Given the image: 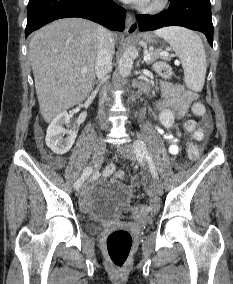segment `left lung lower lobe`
Masks as SVG:
<instances>
[{
  "label": "left lung lower lobe",
  "mask_w": 233,
  "mask_h": 284,
  "mask_svg": "<svg viewBox=\"0 0 233 284\" xmlns=\"http://www.w3.org/2000/svg\"><path fill=\"white\" fill-rule=\"evenodd\" d=\"M141 31L177 25L203 32L213 44V24L210 0H171L169 8L157 15H138Z\"/></svg>",
  "instance_id": "0a47b994"
}]
</instances>
